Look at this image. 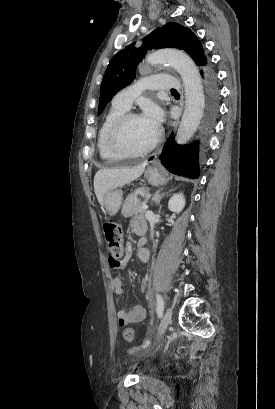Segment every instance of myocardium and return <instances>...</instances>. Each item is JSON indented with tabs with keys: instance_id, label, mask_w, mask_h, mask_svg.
I'll use <instances>...</instances> for the list:
<instances>
[{
	"instance_id": "1",
	"label": "myocardium",
	"mask_w": 275,
	"mask_h": 409,
	"mask_svg": "<svg viewBox=\"0 0 275 409\" xmlns=\"http://www.w3.org/2000/svg\"><path fill=\"white\" fill-rule=\"evenodd\" d=\"M142 118V116L135 112H128L119 117L112 126L109 137L110 151L117 157H138L150 153L157 146L161 133L156 132L153 140L142 149H129L123 144V133L129 122Z\"/></svg>"
}]
</instances>
